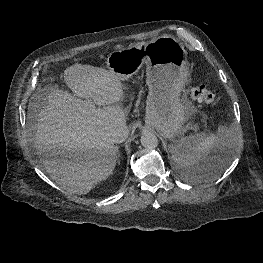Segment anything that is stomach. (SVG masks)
I'll return each mask as SVG.
<instances>
[{"instance_id": "stomach-1", "label": "stomach", "mask_w": 263, "mask_h": 263, "mask_svg": "<svg viewBox=\"0 0 263 263\" xmlns=\"http://www.w3.org/2000/svg\"><path fill=\"white\" fill-rule=\"evenodd\" d=\"M106 64L109 72L120 81L129 79L146 64L149 88L146 123L169 139L186 130L184 123L188 113L181 93L188 81L189 64L187 51L180 41L161 36L137 43L111 52Z\"/></svg>"}]
</instances>
